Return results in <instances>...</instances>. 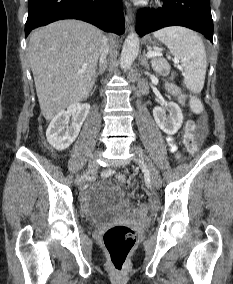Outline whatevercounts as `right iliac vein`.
Returning a JSON list of instances; mask_svg holds the SVG:
<instances>
[{"instance_id": "63e3f726", "label": "right iliac vein", "mask_w": 233, "mask_h": 284, "mask_svg": "<svg viewBox=\"0 0 233 284\" xmlns=\"http://www.w3.org/2000/svg\"><path fill=\"white\" fill-rule=\"evenodd\" d=\"M97 159L98 153H95L88 162V172H84L81 176L82 183H79V188H87L89 185L90 177H95V172L97 170Z\"/></svg>"}]
</instances>
